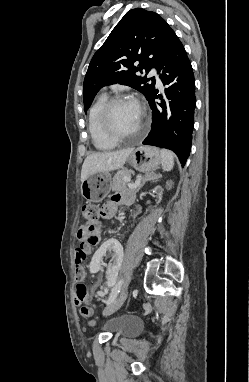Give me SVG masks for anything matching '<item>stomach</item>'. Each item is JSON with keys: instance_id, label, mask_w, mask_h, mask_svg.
Segmentation results:
<instances>
[{"instance_id": "stomach-1", "label": "stomach", "mask_w": 249, "mask_h": 382, "mask_svg": "<svg viewBox=\"0 0 249 382\" xmlns=\"http://www.w3.org/2000/svg\"><path fill=\"white\" fill-rule=\"evenodd\" d=\"M128 163L134 169L149 173L161 164L159 149L150 146H138L132 149ZM111 190V177L108 172H96L89 175L81 184L82 196L89 202H101Z\"/></svg>"}]
</instances>
